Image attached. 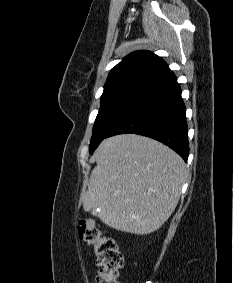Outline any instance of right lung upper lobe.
Wrapping results in <instances>:
<instances>
[{
    "instance_id": "obj_1",
    "label": "right lung upper lobe",
    "mask_w": 233,
    "mask_h": 283,
    "mask_svg": "<svg viewBox=\"0 0 233 283\" xmlns=\"http://www.w3.org/2000/svg\"><path fill=\"white\" fill-rule=\"evenodd\" d=\"M170 71L166 62L149 51L127 55L109 73L104 89L133 80L152 81Z\"/></svg>"
}]
</instances>
